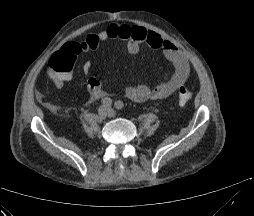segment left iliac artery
<instances>
[{
	"mask_svg": "<svg viewBox=\"0 0 254 216\" xmlns=\"http://www.w3.org/2000/svg\"><path fill=\"white\" fill-rule=\"evenodd\" d=\"M114 106H115V108L118 109V110H121V109L124 108V104H123L122 101H116V102L114 103Z\"/></svg>",
	"mask_w": 254,
	"mask_h": 216,
	"instance_id": "obj_1",
	"label": "left iliac artery"
}]
</instances>
